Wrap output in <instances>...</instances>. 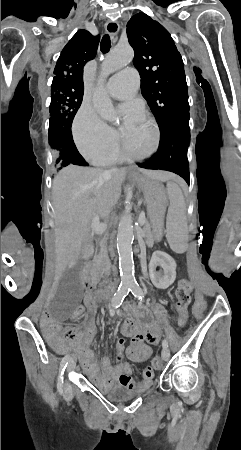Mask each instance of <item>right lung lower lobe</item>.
<instances>
[{"instance_id":"obj_1","label":"right lung lower lobe","mask_w":241,"mask_h":450,"mask_svg":"<svg viewBox=\"0 0 241 450\" xmlns=\"http://www.w3.org/2000/svg\"><path fill=\"white\" fill-rule=\"evenodd\" d=\"M66 155L68 157L69 163L80 166H88V163L79 154L72 138H67L65 140Z\"/></svg>"}]
</instances>
